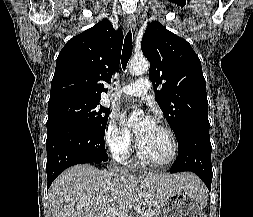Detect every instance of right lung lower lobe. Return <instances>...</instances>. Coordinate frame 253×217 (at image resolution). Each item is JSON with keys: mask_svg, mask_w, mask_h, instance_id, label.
Here are the masks:
<instances>
[{"mask_svg": "<svg viewBox=\"0 0 253 217\" xmlns=\"http://www.w3.org/2000/svg\"><path fill=\"white\" fill-rule=\"evenodd\" d=\"M104 132L99 133L80 125H60L47 130L48 188L66 168L81 164H102L108 160Z\"/></svg>", "mask_w": 253, "mask_h": 217, "instance_id": "98d812e1", "label": "right lung lower lobe"}]
</instances>
